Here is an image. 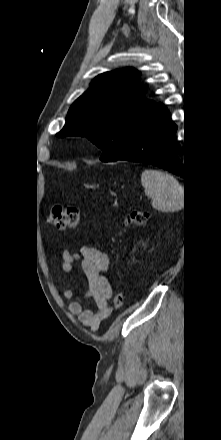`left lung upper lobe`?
I'll return each instance as SVG.
<instances>
[{"mask_svg":"<svg viewBox=\"0 0 221 440\" xmlns=\"http://www.w3.org/2000/svg\"><path fill=\"white\" fill-rule=\"evenodd\" d=\"M133 68L105 72L70 107L66 124L56 134L85 136L102 149L100 160H118L126 151L139 120L155 105L143 97L146 89Z\"/></svg>","mask_w":221,"mask_h":440,"instance_id":"5c2ea615","label":"left lung upper lobe"}]
</instances>
